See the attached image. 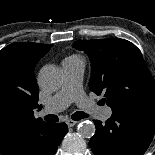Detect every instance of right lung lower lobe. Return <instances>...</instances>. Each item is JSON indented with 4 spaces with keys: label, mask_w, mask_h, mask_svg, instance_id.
Listing matches in <instances>:
<instances>
[{
    "label": "right lung lower lobe",
    "mask_w": 155,
    "mask_h": 155,
    "mask_svg": "<svg viewBox=\"0 0 155 155\" xmlns=\"http://www.w3.org/2000/svg\"><path fill=\"white\" fill-rule=\"evenodd\" d=\"M68 128L65 123L52 124L39 143L36 155H54Z\"/></svg>",
    "instance_id": "right-lung-lower-lobe-1"
}]
</instances>
